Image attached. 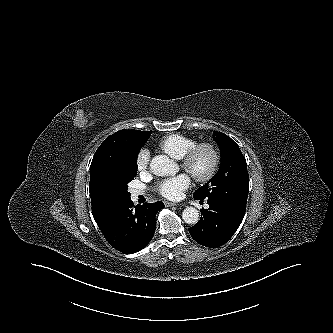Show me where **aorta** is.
Wrapping results in <instances>:
<instances>
[{
	"mask_svg": "<svg viewBox=\"0 0 333 333\" xmlns=\"http://www.w3.org/2000/svg\"><path fill=\"white\" fill-rule=\"evenodd\" d=\"M150 170L156 176L174 175L178 172V165L166 155H157L150 162ZM182 219L187 224H196L199 211L194 207H186L182 212Z\"/></svg>",
	"mask_w": 333,
	"mask_h": 333,
	"instance_id": "1",
	"label": "aorta"
}]
</instances>
